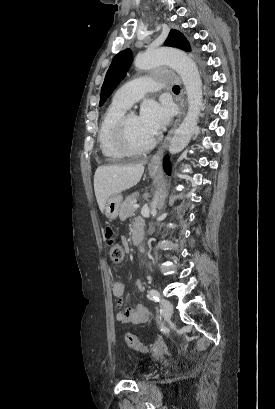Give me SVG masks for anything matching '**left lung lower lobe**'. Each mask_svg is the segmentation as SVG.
Segmentation results:
<instances>
[{"label": "left lung lower lobe", "instance_id": "obj_1", "mask_svg": "<svg viewBox=\"0 0 275 409\" xmlns=\"http://www.w3.org/2000/svg\"><path fill=\"white\" fill-rule=\"evenodd\" d=\"M163 168H164V171H165L167 174H170V160H169V157H168V156H165V157H164V160H163Z\"/></svg>", "mask_w": 275, "mask_h": 409}]
</instances>
